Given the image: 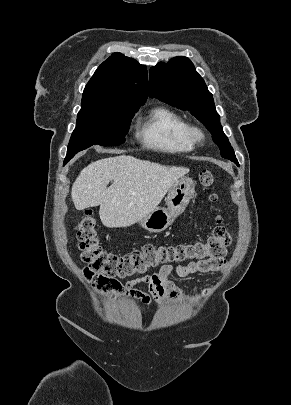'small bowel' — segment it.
<instances>
[{"label":"small bowel","mask_w":291,"mask_h":405,"mask_svg":"<svg viewBox=\"0 0 291 405\" xmlns=\"http://www.w3.org/2000/svg\"><path fill=\"white\" fill-rule=\"evenodd\" d=\"M226 259L203 260L191 262L189 264H179L175 267L166 265L162 266L157 273L131 279L126 282V295L140 300L147 307L154 304L162 306L170 301H184L186 297L173 283L172 276L188 277L195 273H209L222 270L226 265ZM140 284H145L148 291L137 289ZM209 289H204L202 295H206Z\"/></svg>","instance_id":"obj_1"}]
</instances>
